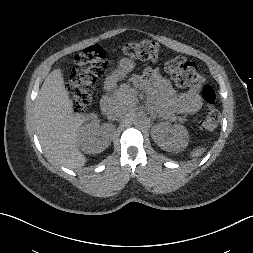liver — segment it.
I'll use <instances>...</instances> for the list:
<instances>
[{
  "label": "liver",
  "mask_w": 253,
  "mask_h": 253,
  "mask_svg": "<svg viewBox=\"0 0 253 253\" xmlns=\"http://www.w3.org/2000/svg\"><path fill=\"white\" fill-rule=\"evenodd\" d=\"M136 94L135 89L126 90L122 103L127 110ZM97 118L98 115L93 112H73V102L65 88L60 68L46 77L35 101L33 123L43 152L51 163L70 169L82 168L87 159L79 150L78 133L85 122Z\"/></svg>",
  "instance_id": "6515ba94"
}]
</instances>
